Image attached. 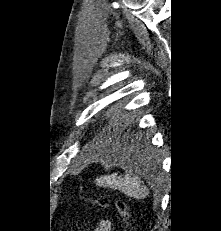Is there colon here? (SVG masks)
<instances>
[{"label":"colon","instance_id":"5ec220e1","mask_svg":"<svg viewBox=\"0 0 221 231\" xmlns=\"http://www.w3.org/2000/svg\"><path fill=\"white\" fill-rule=\"evenodd\" d=\"M91 203L94 205H97L99 207H107L110 203V200L106 197H100L97 199H92ZM114 206L118 212L119 217L121 220L126 223L128 216H129V210L127 204L123 200H115L114 201Z\"/></svg>","mask_w":221,"mask_h":231}]
</instances>
